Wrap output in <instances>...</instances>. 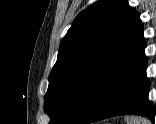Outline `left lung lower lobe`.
<instances>
[{"label":"left lung lower lobe","instance_id":"1","mask_svg":"<svg viewBox=\"0 0 156 124\" xmlns=\"http://www.w3.org/2000/svg\"><path fill=\"white\" fill-rule=\"evenodd\" d=\"M146 41L142 38L104 80L78 124L107 117L138 114L154 122L155 106L148 100Z\"/></svg>","mask_w":156,"mask_h":124}]
</instances>
